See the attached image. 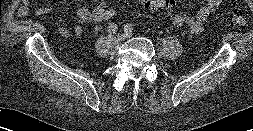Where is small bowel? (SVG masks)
Here are the masks:
<instances>
[{"label":"small bowel","mask_w":253,"mask_h":131,"mask_svg":"<svg viewBox=\"0 0 253 131\" xmlns=\"http://www.w3.org/2000/svg\"><path fill=\"white\" fill-rule=\"evenodd\" d=\"M223 1L224 0H206V4L201 6L193 16L186 14L173 16L172 24L175 27L188 26L191 33L198 34L202 32L206 20L217 11ZM29 3L30 0H25L23 2L22 6L18 10V14L20 16H25L28 13ZM107 6L108 0H102L91 10L86 7H79L76 11V15L82 22L94 23V31L100 32L102 29L101 23L103 22L102 14ZM51 11L52 9L46 6L41 9L42 13H48ZM56 31L64 37H70L72 35H80L83 29L81 26H76L73 30L65 27H58Z\"/></svg>","instance_id":"small-bowel-1"}]
</instances>
